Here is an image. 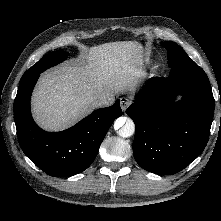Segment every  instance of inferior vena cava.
<instances>
[{"label": "inferior vena cava", "instance_id": "obj_1", "mask_svg": "<svg viewBox=\"0 0 221 221\" xmlns=\"http://www.w3.org/2000/svg\"><path fill=\"white\" fill-rule=\"evenodd\" d=\"M114 102V96H101L94 100L97 107L109 106Z\"/></svg>", "mask_w": 221, "mask_h": 221}]
</instances>
